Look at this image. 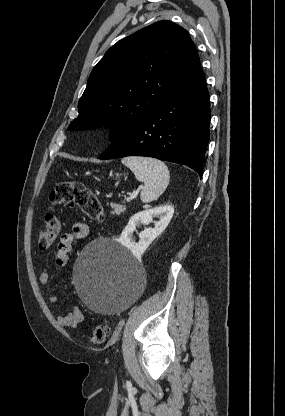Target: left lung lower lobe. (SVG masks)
Instances as JSON below:
<instances>
[{"label": "left lung lower lobe", "mask_w": 285, "mask_h": 416, "mask_svg": "<svg viewBox=\"0 0 285 416\" xmlns=\"http://www.w3.org/2000/svg\"><path fill=\"white\" fill-rule=\"evenodd\" d=\"M211 111L201 68L173 96L119 136L99 157L146 156L184 164L200 178Z\"/></svg>", "instance_id": "left-lung-lower-lobe-1"}]
</instances>
